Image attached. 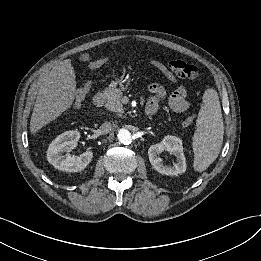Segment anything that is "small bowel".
Listing matches in <instances>:
<instances>
[{"instance_id": "1", "label": "small bowel", "mask_w": 261, "mask_h": 261, "mask_svg": "<svg viewBox=\"0 0 261 261\" xmlns=\"http://www.w3.org/2000/svg\"><path fill=\"white\" fill-rule=\"evenodd\" d=\"M101 65V61L98 59H91L87 62L88 71H96ZM149 92L151 96L146 104V110L150 114H154L158 111L160 103L165 98V89L162 84L158 82L151 83L149 85ZM169 107L176 112H183L190 106L187 98V89L183 85H179L175 91L169 96ZM185 124H189L186 120Z\"/></svg>"}]
</instances>
